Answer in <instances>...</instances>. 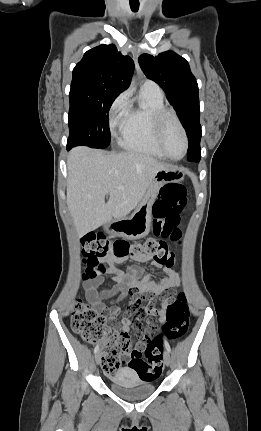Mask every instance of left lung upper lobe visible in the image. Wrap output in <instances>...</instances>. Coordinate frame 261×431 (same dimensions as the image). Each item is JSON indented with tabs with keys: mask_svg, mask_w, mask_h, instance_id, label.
<instances>
[{
	"mask_svg": "<svg viewBox=\"0 0 261 431\" xmlns=\"http://www.w3.org/2000/svg\"><path fill=\"white\" fill-rule=\"evenodd\" d=\"M138 61L147 78L161 86L176 110L189 139L187 159L199 162L201 126L198 84L188 62L173 51L160 53L156 57L142 54Z\"/></svg>",
	"mask_w": 261,
	"mask_h": 431,
	"instance_id": "1",
	"label": "left lung upper lobe"
}]
</instances>
